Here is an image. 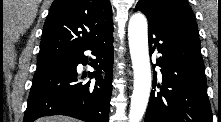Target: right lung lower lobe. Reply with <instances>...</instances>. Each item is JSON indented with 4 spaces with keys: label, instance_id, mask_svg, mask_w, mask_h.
I'll return each mask as SVG.
<instances>
[{
    "label": "right lung lower lobe",
    "instance_id": "1",
    "mask_svg": "<svg viewBox=\"0 0 221 122\" xmlns=\"http://www.w3.org/2000/svg\"><path fill=\"white\" fill-rule=\"evenodd\" d=\"M92 51L96 59L94 84L78 82L76 67L87 64L84 51ZM112 32L55 64L36 70L23 122H33L48 115H67L86 122H108L112 94ZM101 70L106 73L101 76Z\"/></svg>",
    "mask_w": 221,
    "mask_h": 122
}]
</instances>
